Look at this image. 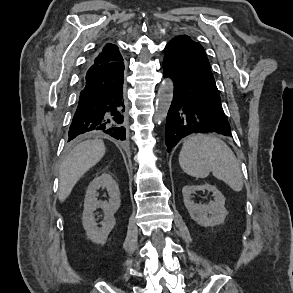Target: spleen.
<instances>
[{"label":"spleen","mask_w":293,"mask_h":293,"mask_svg":"<svg viewBox=\"0 0 293 293\" xmlns=\"http://www.w3.org/2000/svg\"><path fill=\"white\" fill-rule=\"evenodd\" d=\"M179 164L190 176L205 178L213 176L234 191L243 188V176L239 161L233 151L221 139L207 134L191 135L183 143Z\"/></svg>","instance_id":"obj_1"}]
</instances>
